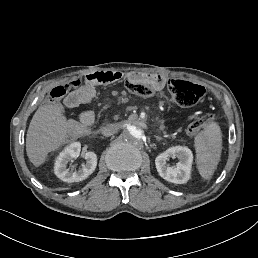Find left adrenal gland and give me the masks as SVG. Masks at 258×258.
Instances as JSON below:
<instances>
[{
	"mask_svg": "<svg viewBox=\"0 0 258 258\" xmlns=\"http://www.w3.org/2000/svg\"><path fill=\"white\" fill-rule=\"evenodd\" d=\"M154 137H155L156 140H158V141L162 140V137H159V136H157V135H154Z\"/></svg>",
	"mask_w": 258,
	"mask_h": 258,
	"instance_id": "a2214340",
	"label": "left adrenal gland"
}]
</instances>
